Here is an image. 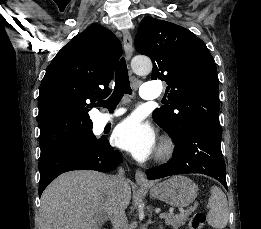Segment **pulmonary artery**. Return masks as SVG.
Returning a JSON list of instances; mask_svg holds the SVG:
<instances>
[{
    "label": "pulmonary artery",
    "mask_w": 261,
    "mask_h": 229,
    "mask_svg": "<svg viewBox=\"0 0 261 229\" xmlns=\"http://www.w3.org/2000/svg\"><path fill=\"white\" fill-rule=\"evenodd\" d=\"M141 90H140V96L143 99H154L160 96L161 92H157L155 89L159 88L158 84H146V85H141ZM126 113L125 109H117L114 113L112 114H106V117L108 120H113L116 118L121 117Z\"/></svg>",
    "instance_id": "obj_1"
}]
</instances>
